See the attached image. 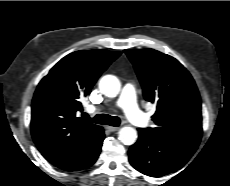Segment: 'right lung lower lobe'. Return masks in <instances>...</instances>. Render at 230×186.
<instances>
[{"label":"right lung lower lobe","mask_w":230,"mask_h":186,"mask_svg":"<svg viewBox=\"0 0 230 186\" xmlns=\"http://www.w3.org/2000/svg\"><path fill=\"white\" fill-rule=\"evenodd\" d=\"M103 140L104 131L103 129H101L97 137L93 139L89 143V145L81 151V153H79L74 159H72L68 163L59 166V168L65 171H74L90 167L95 163L100 154Z\"/></svg>","instance_id":"right-lung-lower-lobe-1"}]
</instances>
